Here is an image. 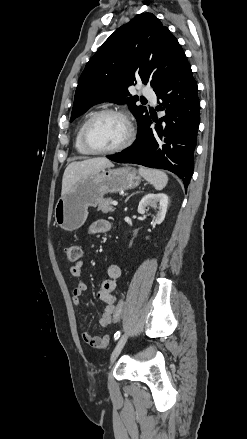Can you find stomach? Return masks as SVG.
<instances>
[{
  "instance_id": "stomach-1",
  "label": "stomach",
  "mask_w": 247,
  "mask_h": 439,
  "mask_svg": "<svg viewBox=\"0 0 247 439\" xmlns=\"http://www.w3.org/2000/svg\"><path fill=\"white\" fill-rule=\"evenodd\" d=\"M140 182V174L130 166L104 168L85 177L57 201L54 209L55 223L66 231L77 230L87 219L88 207L97 206L105 194L137 187Z\"/></svg>"
}]
</instances>
